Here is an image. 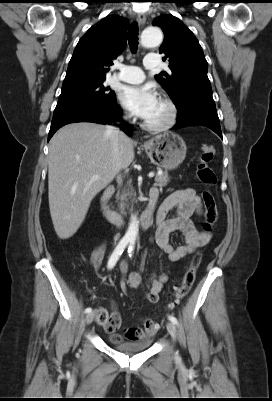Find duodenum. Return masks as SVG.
Instances as JSON below:
<instances>
[{
  "instance_id": "obj_1",
  "label": "duodenum",
  "mask_w": 272,
  "mask_h": 401,
  "mask_svg": "<svg viewBox=\"0 0 272 401\" xmlns=\"http://www.w3.org/2000/svg\"><path fill=\"white\" fill-rule=\"evenodd\" d=\"M114 187H108L100 196V209L106 220L115 225H122L126 222V218L116 211L110 205V199L114 193ZM158 199V192L149 194V200L146 209L143 211L139 224L142 229H148L152 223L153 210Z\"/></svg>"
}]
</instances>
